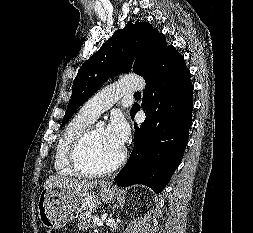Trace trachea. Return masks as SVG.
I'll return each mask as SVG.
<instances>
[{
    "label": "trachea",
    "mask_w": 253,
    "mask_h": 233,
    "mask_svg": "<svg viewBox=\"0 0 253 233\" xmlns=\"http://www.w3.org/2000/svg\"><path fill=\"white\" fill-rule=\"evenodd\" d=\"M135 94H136V95H139V94H141V93H140V92H136Z\"/></svg>",
    "instance_id": "3493384b"
}]
</instances>
